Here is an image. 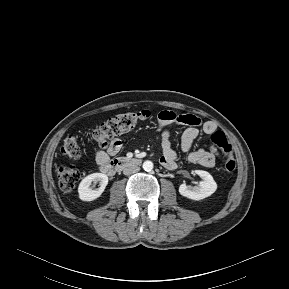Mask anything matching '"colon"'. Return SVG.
Instances as JSON below:
<instances>
[{
	"mask_svg": "<svg viewBox=\"0 0 289 289\" xmlns=\"http://www.w3.org/2000/svg\"><path fill=\"white\" fill-rule=\"evenodd\" d=\"M150 116L151 113L147 110L118 114L99 125L93 131L92 138L100 148H107L109 141L121 133L133 129L138 123L148 120ZM210 140L212 146L220 149L226 157L225 170L232 173L236 168V162L227 137L223 132L216 131L210 135ZM60 151L70 158H78L81 155V148L74 136H67L64 139ZM56 175L60 188L65 192H71L79 180V172L72 165L60 166Z\"/></svg>",
	"mask_w": 289,
	"mask_h": 289,
	"instance_id": "obj_1",
	"label": "colon"
}]
</instances>
